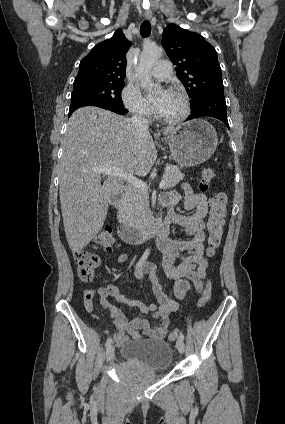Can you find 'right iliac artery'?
Listing matches in <instances>:
<instances>
[{
	"label": "right iliac artery",
	"instance_id": "obj_1",
	"mask_svg": "<svg viewBox=\"0 0 285 424\" xmlns=\"http://www.w3.org/2000/svg\"><path fill=\"white\" fill-rule=\"evenodd\" d=\"M148 255H149V250H146L145 252H144V254L142 255V257L140 258V260L138 261V263H137V265H136V269L137 268H139L140 266H142V264L146 261V259H147V257H148ZM111 343H112V338L111 337H109L107 340H106V347L108 348L110 345H111Z\"/></svg>",
	"mask_w": 285,
	"mask_h": 424
}]
</instances>
